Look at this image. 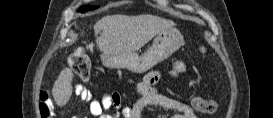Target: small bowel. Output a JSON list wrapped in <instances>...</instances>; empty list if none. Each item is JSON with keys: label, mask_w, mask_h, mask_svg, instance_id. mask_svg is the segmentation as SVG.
Here are the masks:
<instances>
[{"label": "small bowel", "mask_w": 273, "mask_h": 118, "mask_svg": "<svg viewBox=\"0 0 273 118\" xmlns=\"http://www.w3.org/2000/svg\"><path fill=\"white\" fill-rule=\"evenodd\" d=\"M185 71L182 62L177 61L173 64L169 75L174 77ZM162 74L160 72H152L145 76L144 80L136 84L139 98L130 107H123L121 96L119 93L106 94L101 98H94L89 90L81 85L75 88L76 95L88 104L90 114L93 117L104 118L103 111L115 110L113 115L108 118H118L120 114L123 118H140L142 110L146 107H159L164 110L176 111L177 114L171 115L169 118H195L194 100L202 99L201 97H192L190 104L179 100L164 96L160 93L156 84L160 80Z\"/></svg>", "instance_id": "1"}]
</instances>
